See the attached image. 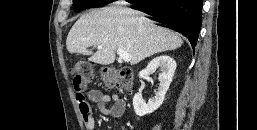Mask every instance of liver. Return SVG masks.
Wrapping results in <instances>:
<instances>
[{"label":"liver","instance_id":"obj_1","mask_svg":"<svg viewBox=\"0 0 257 130\" xmlns=\"http://www.w3.org/2000/svg\"><path fill=\"white\" fill-rule=\"evenodd\" d=\"M182 44L178 34L155 25L141 12L122 7H105L82 15L66 39L70 53L91 55L88 60L101 65L112 64L117 49L129 53L130 64L135 65ZM96 46H102V49L93 53L89 48Z\"/></svg>","mask_w":257,"mask_h":130}]
</instances>
